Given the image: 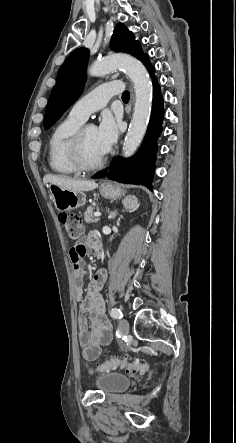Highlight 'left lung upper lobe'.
<instances>
[{"label":"left lung upper lobe","mask_w":236,"mask_h":443,"mask_svg":"<svg viewBox=\"0 0 236 443\" xmlns=\"http://www.w3.org/2000/svg\"><path fill=\"white\" fill-rule=\"evenodd\" d=\"M110 48L125 52L141 60L143 53L138 41L127 27L118 23L110 41ZM89 51L85 48L74 50L60 67L56 84L47 103L44 128H50L81 95L85 81Z\"/></svg>","instance_id":"left-lung-upper-lobe-1"}]
</instances>
